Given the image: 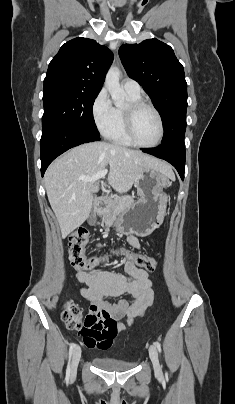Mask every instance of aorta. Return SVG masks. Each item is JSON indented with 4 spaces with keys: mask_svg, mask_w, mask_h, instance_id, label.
Returning <instances> with one entry per match:
<instances>
[{
    "mask_svg": "<svg viewBox=\"0 0 235 404\" xmlns=\"http://www.w3.org/2000/svg\"><path fill=\"white\" fill-rule=\"evenodd\" d=\"M120 70L117 67H110L106 74L105 85L111 95L116 107H121L124 103V90L120 87Z\"/></svg>",
    "mask_w": 235,
    "mask_h": 404,
    "instance_id": "obj_1",
    "label": "aorta"
}]
</instances>
